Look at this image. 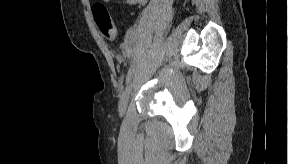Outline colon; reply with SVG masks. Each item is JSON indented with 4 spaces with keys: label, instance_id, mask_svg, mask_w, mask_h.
Returning <instances> with one entry per match:
<instances>
[{
    "label": "colon",
    "instance_id": "colon-1",
    "mask_svg": "<svg viewBox=\"0 0 288 164\" xmlns=\"http://www.w3.org/2000/svg\"><path fill=\"white\" fill-rule=\"evenodd\" d=\"M92 12L94 21L100 31L107 39L115 40L117 37V30L111 20L108 9L102 4H98L92 9Z\"/></svg>",
    "mask_w": 288,
    "mask_h": 164
}]
</instances>
